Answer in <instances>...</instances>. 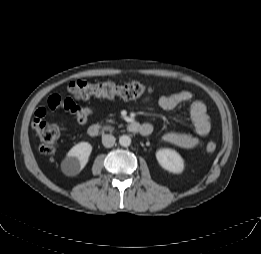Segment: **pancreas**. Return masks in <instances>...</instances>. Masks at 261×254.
<instances>
[{
  "mask_svg": "<svg viewBox=\"0 0 261 254\" xmlns=\"http://www.w3.org/2000/svg\"><path fill=\"white\" fill-rule=\"evenodd\" d=\"M107 122H108V123H113L114 120H113V119H108Z\"/></svg>",
  "mask_w": 261,
  "mask_h": 254,
  "instance_id": "1",
  "label": "pancreas"
}]
</instances>
